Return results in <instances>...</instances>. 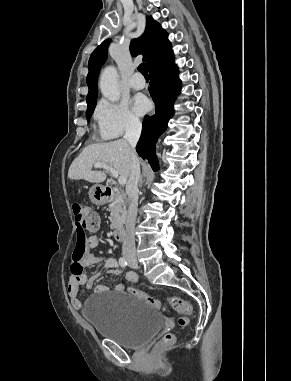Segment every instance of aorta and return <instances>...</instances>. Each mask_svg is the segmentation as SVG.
I'll use <instances>...</instances> for the list:
<instances>
[{
    "label": "aorta",
    "mask_w": 291,
    "mask_h": 381,
    "mask_svg": "<svg viewBox=\"0 0 291 381\" xmlns=\"http://www.w3.org/2000/svg\"><path fill=\"white\" fill-rule=\"evenodd\" d=\"M100 89L102 95L111 102L120 99L118 87V72L114 66L106 67L100 77Z\"/></svg>",
    "instance_id": "1"
}]
</instances>
